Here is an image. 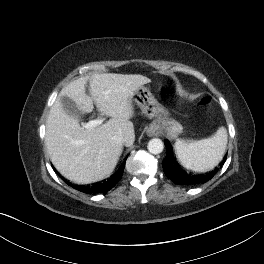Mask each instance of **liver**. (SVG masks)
<instances>
[{
	"mask_svg": "<svg viewBox=\"0 0 264 264\" xmlns=\"http://www.w3.org/2000/svg\"><path fill=\"white\" fill-rule=\"evenodd\" d=\"M89 81L92 97L85 92ZM151 80L131 74H93L70 82L59 93L46 122L45 143L48 154L59 173L76 183H89L110 175L123 151V145L112 137H124L126 146L135 139L131 99L135 92ZM72 99L83 113L93 111V101L102 115L111 117L103 125L91 129L80 126L69 116L61 97Z\"/></svg>",
	"mask_w": 264,
	"mask_h": 264,
	"instance_id": "6515ba94",
	"label": "liver"
}]
</instances>
